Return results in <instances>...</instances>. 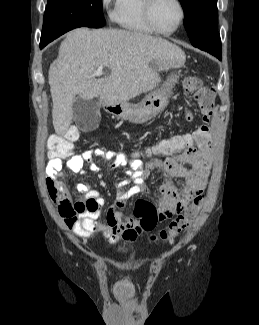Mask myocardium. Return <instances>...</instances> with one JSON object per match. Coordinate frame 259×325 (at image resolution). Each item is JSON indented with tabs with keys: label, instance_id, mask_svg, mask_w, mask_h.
<instances>
[{
	"label": "myocardium",
	"instance_id": "myocardium-1",
	"mask_svg": "<svg viewBox=\"0 0 259 325\" xmlns=\"http://www.w3.org/2000/svg\"><path fill=\"white\" fill-rule=\"evenodd\" d=\"M175 2L177 3V5L179 7V11H180L179 20H178L176 26L172 30L163 31V30H160L156 26V24H155V22L153 20L152 9H153V5L155 3V0H143V14H144V18H145L147 24L149 25V27L155 33H158V34H161V35H171V34L175 33L181 27V25L183 24L184 19H185V15H186L184 4L182 3L181 0H175Z\"/></svg>",
	"mask_w": 259,
	"mask_h": 325
}]
</instances>
